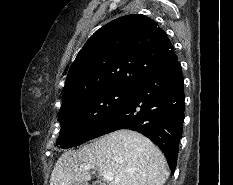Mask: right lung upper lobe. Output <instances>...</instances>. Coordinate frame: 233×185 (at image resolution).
Masks as SVG:
<instances>
[{
  "label": "right lung upper lobe",
  "instance_id": "right-lung-upper-lobe-1",
  "mask_svg": "<svg viewBox=\"0 0 233 185\" xmlns=\"http://www.w3.org/2000/svg\"><path fill=\"white\" fill-rule=\"evenodd\" d=\"M176 60L154 20L141 14L117 18L97 30L78 53L62 91V107L97 91L129 89Z\"/></svg>",
  "mask_w": 233,
  "mask_h": 185
}]
</instances>
